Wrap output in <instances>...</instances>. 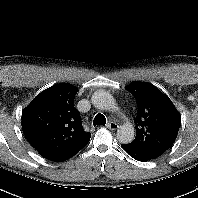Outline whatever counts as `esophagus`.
I'll list each match as a JSON object with an SVG mask.
<instances>
[{"mask_svg":"<svg viewBox=\"0 0 198 198\" xmlns=\"http://www.w3.org/2000/svg\"><path fill=\"white\" fill-rule=\"evenodd\" d=\"M106 127L110 130H117L119 128V125L116 122H109Z\"/></svg>","mask_w":198,"mask_h":198,"instance_id":"esophagus-1","label":"esophagus"}]
</instances>
